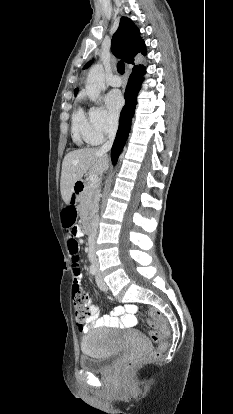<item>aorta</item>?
I'll return each instance as SVG.
<instances>
[{
    "mask_svg": "<svg viewBox=\"0 0 233 414\" xmlns=\"http://www.w3.org/2000/svg\"><path fill=\"white\" fill-rule=\"evenodd\" d=\"M105 86L104 69L101 64L93 65L86 81V94L91 101L96 102Z\"/></svg>",
    "mask_w": 233,
    "mask_h": 414,
    "instance_id": "aorta-1",
    "label": "aorta"
}]
</instances>
